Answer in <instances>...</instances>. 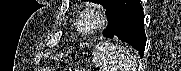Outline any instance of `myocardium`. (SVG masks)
I'll return each instance as SVG.
<instances>
[{"instance_id": "obj_1", "label": "myocardium", "mask_w": 181, "mask_h": 71, "mask_svg": "<svg viewBox=\"0 0 181 71\" xmlns=\"http://www.w3.org/2000/svg\"><path fill=\"white\" fill-rule=\"evenodd\" d=\"M87 22H89V25H86ZM105 22L106 18L101 11L89 8L80 14L76 22V30L82 35H91L102 29Z\"/></svg>"}]
</instances>
